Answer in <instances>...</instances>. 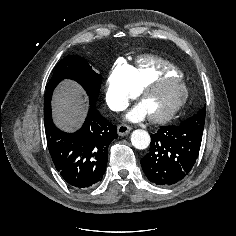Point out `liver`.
Wrapping results in <instances>:
<instances>
[{"label":"liver","mask_w":236,"mask_h":236,"mask_svg":"<svg viewBox=\"0 0 236 236\" xmlns=\"http://www.w3.org/2000/svg\"><path fill=\"white\" fill-rule=\"evenodd\" d=\"M86 100L79 85L72 81L63 82L53 98V118L56 125L65 131L79 127L86 113Z\"/></svg>","instance_id":"1"}]
</instances>
